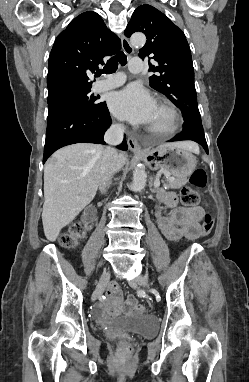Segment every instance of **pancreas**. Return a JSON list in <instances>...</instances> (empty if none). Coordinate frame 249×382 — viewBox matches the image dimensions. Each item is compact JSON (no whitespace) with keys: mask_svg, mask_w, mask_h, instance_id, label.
<instances>
[{"mask_svg":"<svg viewBox=\"0 0 249 382\" xmlns=\"http://www.w3.org/2000/svg\"><path fill=\"white\" fill-rule=\"evenodd\" d=\"M187 183L186 177H176L174 180H168L164 183L165 187L168 189H179Z\"/></svg>","mask_w":249,"mask_h":382,"instance_id":"1","label":"pancreas"}]
</instances>
